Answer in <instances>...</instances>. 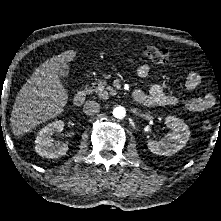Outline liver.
I'll use <instances>...</instances> for the list:
<instances>
[{
	"label": "liver",
	"mask_w": 221,
	"mask_h": 221,
	"mask_svg": "<svg viewBox=\"0 0 221 221\" xmlns=\"http://www.w3.org/2000/svg\"><path fill=\"white\" fill-rule=\"evenodd\" d=\"M75 56L74 50H68L48 59L23 85L11 112L14 136L21 137L63 112L68 92L60 82L59 66L73 61Z\"/></svg>",
	"instance_id": "1"
}]
</instances>
